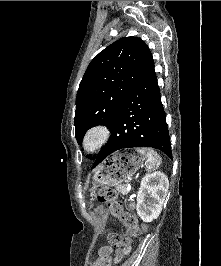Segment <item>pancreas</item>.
Here are the masks:
<instances>
[{
  "mask_svg": "<svg viewBox=\"0 0 221 266\" xmlns=\"http://www.w3.org/2000/svg\"><path fill=\"white\" fill-rule=\"evenodd\" d=\"M128 186L123 184V185H117L116 186V190L118 193H121V194H127L129 193L130 189H127Z\"/></svg>",
  "mask_w": 221,
  "mask_h": 266,
  "instance_id": "pancreas-1",
  "label": "pancreas"
}]
</instances>
